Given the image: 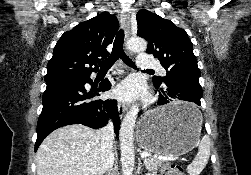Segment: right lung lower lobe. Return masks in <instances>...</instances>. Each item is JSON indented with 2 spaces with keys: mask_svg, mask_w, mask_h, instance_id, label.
Wrapping results in <instances>:
<instances>
[{
  "mask_svg": "<svg viewBox=\"0 0 251 175\" xmlns=\"http://www.w3.org/2000/svg\"><path fill=\"white\" fill-rule=\"evenodd\" d=\"M90 76L74 79L47 81L43 94V109L37 124V151L45 137L55 129L70 125L83 124L91 128H101L109 118L114 122V131L118 135L120 118L116 100H91L97 92L87 93L85 83H91ZM111 88L109 80L105 79L98 87V92Z\"/></svg>",
  "mask_w": 251,
  "mask_h": 175,
  "instance_id": "1",
  "label": "right lung lower lobe"
}]
</instances>
